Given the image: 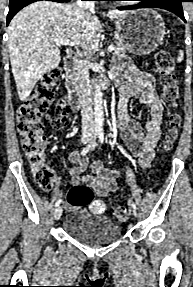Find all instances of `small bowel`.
I'll list each match as a JSON object with an SVG mask.
<instances>
[{
    "instance_id": "1",
    "label": "small bowel",
    "mask_w": 193,
    "mask_h": 287,
    "mask_svg": "<svg viewBox=\"0 0 193 287\" xmlns=\"http://www.w3.org/2000/svg\"><path fill=\"white\" fill-rule=\"evenodd\" d=\"M114 71L119 76L120 97L117 103V126L122 139L141 167H147L154 156V149L161 136L163 105L155 89L154 77L123 59L115 62ZM138 99V105L149 109L150 118L142 126L128 110V102ZM52 117H50L51 122ZM76 166L68 169L72 184H84L94 190L98 197H107L118 187V171L108 169L104 161L93 162L79 159L77 150L69 153ZM90 168L91 173H85Z\"/></svg>"
}]
</instances>
